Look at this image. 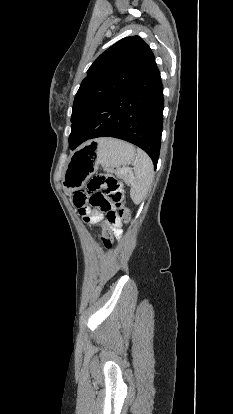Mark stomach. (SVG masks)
I'll return each mask as SVG.
<instances>
[{"label":"stomach","instance_id":"1","mask_svg":"<svg viewBox=\"0 0 233 414\" xmlns=\"http://www.w3.org/2000/svg\"><path fill=\"white\" fill-rule=\"evenodd\" d=\"M135 157L134 146L127 142L112 138L90 141L70 155L62 180L63 188L68 193L74 192L97 171L99 165L113 171L132 164Z\"/></svg>","mask_w":233,"mask_h":414}]
</instances>
